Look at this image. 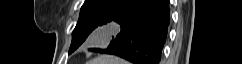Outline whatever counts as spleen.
<instances>
[{"label": "spleen", "mask_w": 242, "mask_h": 64, "mask_svg": "<svg viewBox=\"0 0 242 64\" xmlns=\"http://www.w3.org/2000/svg\"><path fill=\"white\" fill-rule=\"evenodd\" d=\"M87 64H130V63L125 61L124 59H121L119 57H115L112 55H101L89 61Z\"/></svg>", "instance_id": "spleen-1"}]
</instances>
